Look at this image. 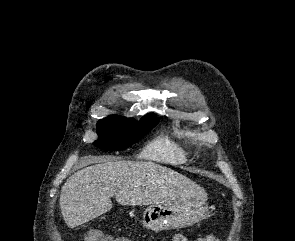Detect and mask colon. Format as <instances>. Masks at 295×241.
I'll list each match as a JSON object with an SVG mask.
<instances>
[{"mask_svg":"<svg viewBox=\"0 0 295 241\" xmlns=\"http://www.w3.org/2000/svg\"><path fill=\"white\" fill-rule=\"evenodd\" d=\"M86 241H128V240L111 238V237L105 236L102 232L98 230H90L88 231L86 235ZM174 241H187V240L182 236H176L174 238ZM198 241H220V240L216 237H208Z\"/></svg>","mask_w":295,"mask_h":241,"instance_id":"colon-1","label":"colon"}]
</instances>
